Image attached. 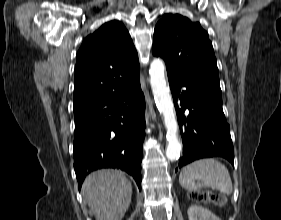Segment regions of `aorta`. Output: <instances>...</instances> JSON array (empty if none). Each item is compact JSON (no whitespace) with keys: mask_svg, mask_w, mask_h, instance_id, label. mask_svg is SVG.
<instances>
[{"mask_svg":"<svg viewBox=\"0 0 281 220\" xmlns=\"http://www.w3.org/2000/svg\"><path fill=\"white\" fill-rule=\"evenodd\" d=\"M165 64L156 58L150 64V82L154 95L156 106L164 117V124L167 130L168 145L166 148V157L170 161L177 160L181 152V143L178 139V124L170 89L165 80Z\"/></svg>","mask_w":281,"mask_h":220,"instance_id":"762f6f07","label":"aorta"}]
</instances>
